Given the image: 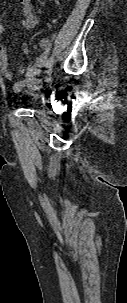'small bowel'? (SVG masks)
I'll list each match as a JSON object with an SVG mask.
<instances>
[{
	"label": "small bowel",
	"instance_id": "c3829d8e",
	"mask_svg": "<svg viewBox=\"0 0 127 303\" xmlns=\"http://www.w3.org/2000/svg\"><path fill=\"white\" fill-rule=\"evenodd\" d=\"M18 4L21 7L23 20L22 26L26 30L33 29L38 24V18L34 12L31 0H18ZM5 28L0 21V37L4 34ZM39 46L42 50L41 54L31 61L27 66H21L18 69V73L21 78L14 82L13 90L15 92H20L25 88H32L38 83L37 76L40 73V69L46 65L48 61V56L51 49V42L48 38H42L39 41ZM23 53H28V47H22ZM0 71L4 79L11 81L13 80V73L9 69L7 53L4 46L0 43Z\"/></svg>",
	"mask_w": 127,
	"mask_h": 303
}]
</instances>
